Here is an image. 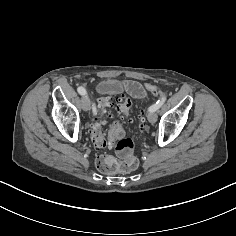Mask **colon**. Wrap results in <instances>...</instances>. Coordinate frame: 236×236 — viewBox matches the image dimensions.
I'll return each instance as SVG.
<instances>
[{"mask_svg":"<svg viewBox=\"0 0 236 236\" xmlns=\"http://www.w3.org/2000/svg\"><path fill=\"white\" fill-rule=\"evenodd\" d=\"M130 89L132 92L138 89L147 90L152 94H161L163 92L160 87L150 83L143 86L135 83ZM97 107V115L91 128L92 142L98 148L112 147L122 159L119 162L109 154H102L96 160L98 169L107 174L116 172L128 173L136 170L138 159L134 155L135 143L132 138L126 136L123 125L120 122H114L111 124L107 135L102 132L103 125L113 115V111H117L123 118L130 121L131 100L124 95L104 96L98 100ZM142 120L144 121V117H142Z\"/></svg>","mask_w":236,"mask_h":236,"instance_id":"obj_1","label":"colon"}]
</instances>
